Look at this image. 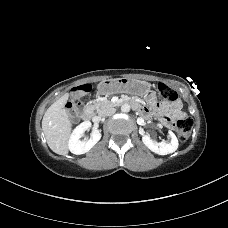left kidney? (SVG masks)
I'll list each match as a JSON object with an SVG mask.
<instances>
[{
  "instance_id": "1",
  "label": "left kidney",
  "mask_w": 228,
  "mask_h": 228,
  "mask_svg": "<svg viewBox=\"0 0 228 228\" xmlns=\"http://www.w3.org/2000/svg\"><path fill=\"white\" fill-rule=\"evenodd\" d=\"M168 133L171 138L169 143L157 142L151 139L149 135H143L142 141L152 152L159 155H167L175 152L179 145L176 135L171 130Z\"/></svg>"
}]
</instances>
